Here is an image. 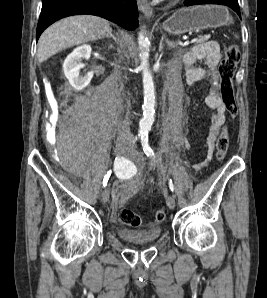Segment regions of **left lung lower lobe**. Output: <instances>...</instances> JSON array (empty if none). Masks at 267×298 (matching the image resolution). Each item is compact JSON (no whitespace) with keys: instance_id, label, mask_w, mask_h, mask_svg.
I'll return each mask as SVG.
<instances>
[{"instance_id":"1","label":"left lung lower lobe","mask_w":267,"mask_h":298,"mask_svg":"<svg viewBox=\"0 0 267 298\" xmlns=\"http://www.w3.org/2000/svg\"><path fill=\"white\" fill-rule=\"evenodd\" d=\"M186 6L198 5V4H220L226 5L232 8L240 17V9L238 5V0H186L184 2Z\"/></svg>"}]
</instances>
